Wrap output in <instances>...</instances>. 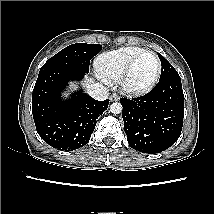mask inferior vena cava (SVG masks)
Here are the masks:
<instances>
[{"label": "inferior vena cava", "instance_id": "1", "mask_svg": "<svg viewBox=\"0 0 214 214\" xmlns=\"http://www.w3.org/2000/svg\"><path fill=\"white\" fill-rule=\"evenodd\" d=\"M87 94L95 100L103 101L108 98V88L100 83H93L86 87Z\"/></svg>", "mask_w": 214, "mask_h": 214}]
</instances>
